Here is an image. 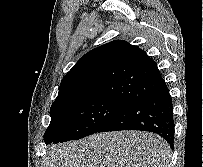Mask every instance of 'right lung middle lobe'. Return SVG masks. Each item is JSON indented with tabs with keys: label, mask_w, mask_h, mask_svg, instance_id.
<instances>
[{
	"label": "right lung middle lobe",
	"mask_w": 203,
	"mask_h": 167,
	"mask_svg": "<svg viewBox=\"0 0 203 167\" xmlns=\"http://www.w3.org/2000/svg\"><path fill=\"white\" fill-rule=\"evenodd\" d=\"M128 105L106 97H85L51 107L45 143L76 140L97 133Z\"/></svg>",
	"instance_id": "1"
}]
</instances>
